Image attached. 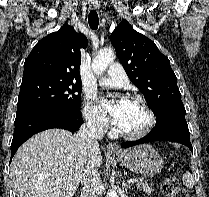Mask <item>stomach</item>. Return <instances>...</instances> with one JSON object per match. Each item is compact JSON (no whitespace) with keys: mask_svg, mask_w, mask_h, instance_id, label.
<instances>
[{"mask_svg":"<svg viewBox=\"0 0 209 197\" xmlns=\"http://www.w3.org/2000/svg\"><path fill=\"white\" fill-rule=\"evenodd\" d=\"M121 164L133 173L154 176L163 168V159L150 145L144 144L115 154Z\"/></svg>","mask_w":209,"mask_h":197,"instance_id":"obj_1","label":"stomach"}]
</instances>
